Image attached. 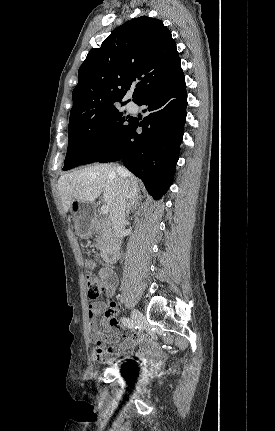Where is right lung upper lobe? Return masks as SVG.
I'll use <instances>...</instances> for the list:
<instances>
[{"label":"right lung upper lobe","instance_id":"obj_1","mask_svg":"<svg viewBox=\"0 0 275 431\" xmlns=\"http://www.w3.org/2000/svg\"><path fill=\"white\" fill-rule=\"evenodd\" d=\"M179 70L175 41L162 21L147 16L130 20L116 28L100 48L91 49L80 66L69 122L114 107L137 80L132 100L138 103Z\"/></svg>","mask_w":275,"mask_h":431}]
</instances>
